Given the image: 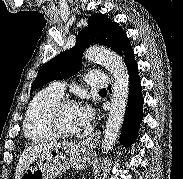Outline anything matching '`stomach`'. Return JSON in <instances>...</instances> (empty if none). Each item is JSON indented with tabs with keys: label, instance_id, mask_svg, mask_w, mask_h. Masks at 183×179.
Masks as SVG:
<instances>
[{
	"label": "stomach",
	"instance_id": "1",
	"mask_svg": "<svg viewBox=\"0 0 183 179\" xmlns=\"http://www.w3.org/2000/svg\"><path fill=\"white\" fill-rule=\"evenodd\" d=\"M92 151L80 144L62 143L49 149L45 156L33 162L20 179H55L70 168L83 170L91 165Z\"/></svg>",
	"mask_w": 183,
	"mask_h": 179
}]
</instances>
